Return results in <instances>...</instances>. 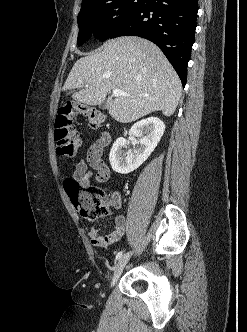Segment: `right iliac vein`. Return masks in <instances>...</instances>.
Listing matches in <instances>:
<instances>
[{
	"instance_id": "obj_1",
	"label": "right iliac vein",
	"mask_w": 247,
	"mask_h": 332,
	"mask_svg": "<svg viewBox=\"0 0 247 332\" xmlns=\"http://www.w3.org/2000/svg\"><path fill=\"white\" fill-rule=\"evenodd\" d=\"M130 257H131V253L128 252L119 259L118 263L115 266V270H114V273L112 276L111 286H114L117 283L118 279L120 278V276L123 272L125 265L129 261Z\"/></svg>"
}]
</instances>
